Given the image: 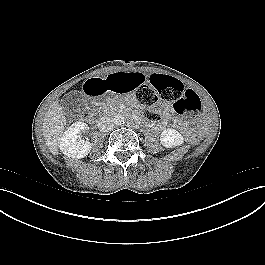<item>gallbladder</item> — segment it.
Listing matches in <instances>:
<instances>
[{
	"label": "gallbladder",
	"mask_w": 265,
	"mask_h": 265,
	"mask_svg": "<svg viewBox=\"0 0 265 265\" xmlns=\"http://www.w3.org/2000/svg\"><path fill=\"white\" fill-rule=\"evenodd\" d=\"M61 104L64 110V113L70 117L74 114H78L81 110L84 109L82 96L78 92H69L63 96Z\"/></svg>",
	"instance_id": "obj_1"
}]
</instances>
